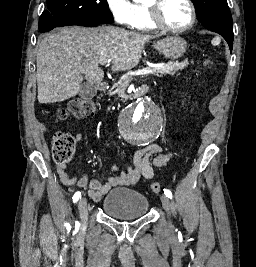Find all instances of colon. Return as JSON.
I'll list each match as a JSON object with an SVG mask.
<instances>
[{"instance_id": "1", "label": "colon", "mask_w": 256, "mask_h": 267, "mask_svg": "<svg viewBox=\"0 0 256 267\" xmlns=\"http://www.w3.org/2000/svg\"><path fill=\"white\" fill-rule=\"evenodd\" d=\"M210 61L203 63L204 67L211 66ZM95 110V103L91 99H74L71 100L66 107L61 108L57 112L59 120H66L69 118L79 119L92 114ZM76 141L73 136L66 133H57L54 136L53 148L55 159L60 163H67L74 152ZM154 194H160L163 191V184L154 182L150 186Z\"/></svg>"}]
</instances>
